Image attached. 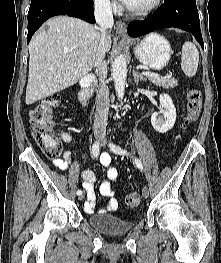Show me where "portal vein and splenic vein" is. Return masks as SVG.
Segmentation results:
<instances>
[{
  "label": "portal vein and splenic vein",
  "mask_w": 221,
  "mask_h": 263,
  "mask_svg": "<svg viewBox=\"0 0 221 263\" xmlns=\"http://www.w3.org/2000/svg\"><path fill=\"white\" fill-rule=\"evenodd\" d=\"M143 75H146V76H149V77H155V78H158V77H160V75L159 74H156V73H151V72H143L142 73Z\"/></svg>",
  "instance_id": "portal-vein-and-splenic-vein-1"
}]
</instances>
